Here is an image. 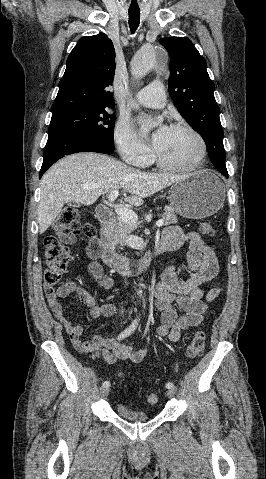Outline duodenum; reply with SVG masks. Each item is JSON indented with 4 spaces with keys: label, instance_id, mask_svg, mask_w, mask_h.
<instances>
[{
    "label": "duodenum",
    "instance_id": "1",
    "mask_svg": "<svg viewBox=\"0 0 266 479\" xmlns=\"http://www.w3.org/2000/svg\"><path fill=\"white\" fill-rule=\"evenodd\" d=\"M96 215L99 222L104 226V233L98 243H94L89 247V252L93 257L101 258L103 262L113 270L128 274L129 276H137L149 268L156 255L165 251V248L158 243L154 248L146 252L140 260L133 264L132 260L119 255L109 246L106 232L113 220L112 211L109 206L105 204L98 205L96 207Z\"/></svg>",
    "mask_w": 266,
    "mask_h": 479
}]
</instances>
